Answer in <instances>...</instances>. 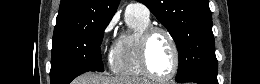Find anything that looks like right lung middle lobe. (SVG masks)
I'll return each instance as SVG.
<instances>
[{
	"label": "right lung middle lobe",
	"instance_id": "dd1d6c3e",
	"mask_svg": "<svg viewBox=\"0 0 260 84\" xmlns=\"http://www.w3.org/2000/svg\"><path fill=\"white\" fill-rule=\"evenodd\" d=\"M109 22H91L75 31L53 36L52 84H68L84 72L104 71L100 45Z\"/></svg>",
	"mask_w": 260,
	"mask_h": 84
}]
</instances>
